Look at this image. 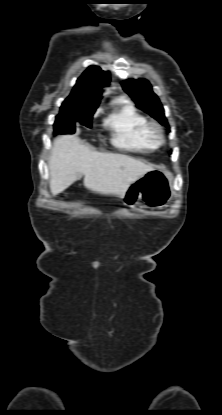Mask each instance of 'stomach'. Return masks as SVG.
Segmentation results:
<instances>
[{"label": "stomach", "instance_id": "0dacf381", "mask_svg": "<svg viewBox=\"0 0 222 415\" xmlns=\"http://www.w3.org/2000/svg\"><path fill=\"white\" fill-rule=\"evenodd\" d=\"M173 194L172 174L164 168H155L132 182L122 198L127 207H135L143 200L149 207L161 208Z\"/></svg>", "mask_w": 222, "mask_h": 415}]
</instances>
